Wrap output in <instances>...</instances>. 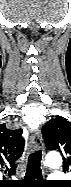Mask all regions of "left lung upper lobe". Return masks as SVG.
<instances>
[{
    "label": "left lung upper lobe",
    "instance_id": "5c2ea615",
    "mask_svg": "<svg viewBox=\"0 0 71 187\" xmlns=\"http://www.w3.org/2000/svg\"><path fill=\"white\" fill-rule=\"evenodd\" d=\"M45 144L49 150H57L63 155V170L71 167V122L51 119L42 129Z\"/></svg>",
    "mask_w": 71,
    "mask_h": 187
}]
</instances>
